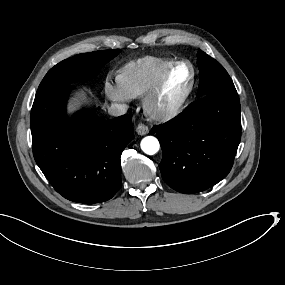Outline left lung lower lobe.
I'll return each instance as SVG.
<instances>
[{
	"instance_id": "left-lung-lower-lobe-1",
	"label": "left lung lower lobe",
	"mask_w": 285,
	"mask_h": 285,
	"mask_svg": "<svg viewBox=\"0 0 285 285\" xmlns=\"http://www.w3.org/2000/svg\"><path fill=\"white\" fill-rule=\"evenodd\" d=\"M162 148V178L174 190H207L230 172L241 139L236 91L204 95L169 122L154 126Z\"/></svg>"
}]
</instances>
